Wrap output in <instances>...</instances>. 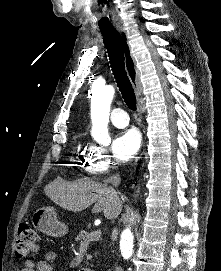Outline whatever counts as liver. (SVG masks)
Here are the masks:
<instances>
[{
    "instance_id": "6515ba94",
    "label": "liver",
    "mask_w": 221,
    "mask_h": 271,
    "mask_svg": "<svg viewBox=\"0 0 221 271\" xmlns=\"http://www.w3.org/2000/svg\"><path fill=\"white\" fill-rule=\"evenodd\" d=\"M44 191L54 203L68 211H83L95 203L94 209H103L107 219H114L123 209V201L120 197H106L105 183L94 181L90 177H83L76 181H64L58 177L47 183Z\"/></svg>"
}]
</instances>
